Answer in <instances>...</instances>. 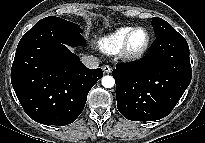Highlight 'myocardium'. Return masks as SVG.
<instances>
[{
	"label": "myocardium",
	"instance_id": "1",
	"mask_svg": "<svg viewBox=\"0 0 205 143\" xmlns=\"http://www.w3.org/2000/svg\"><path fill=\"white\" fill-rule=\"evenodd\" d=\"M138 30H144L147 34V38H146V42L144 43V45L137 51H132L130 49V41L131 38L133 36V34L135 32H137ZM151 43V34L149 32V30L146 27H134L126 36L123 45L119 51L120 53V57L125 60V61H129V62H133V61H137L139 59H141L144 54L147 52V50L149 49Z\"/></svg>",
	"mask_w": 205,
	"mask_h": 143
}]
</instances>
